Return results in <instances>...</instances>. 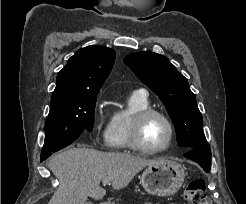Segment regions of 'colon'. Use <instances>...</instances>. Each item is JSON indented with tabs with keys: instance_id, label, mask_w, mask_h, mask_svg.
Listing matches in <instances>:
<instances>
[{
	"instance_id": "obj_1",
	"label": "colon",
	"mask_w": 246,
	"mask_h": 204,
	"mask_svg": "<svg viewBox=\"0 0 246 204\" xmlns=\"http://www.w3.org/2000/svg\"><path fill=\"white\" fill-rule=\"evenodd\" d=\"M184 198L189 204H212L207 197L206 182L203 178H196L188 183Z\"/></svg>"
}]
</instances>
